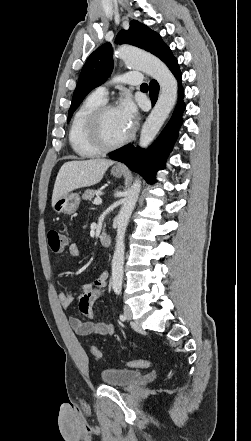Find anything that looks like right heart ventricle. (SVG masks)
Masks as SVG:
<instances>
[{"mask_svg": "<svg viewBox=\"0 0 251 441\" xmlns=\"http://www.w3.org/2000/svg\"><path fill=\"white\" fill-rule=\"evenodd\" d=\"M104 102L105 99L96 93H91L83 100L73 115L69 128V142L75 154L81 158L97 157L102 152L90 141L87 123L91 113Z\"/></svg>", "mask_w": 251, "mask_h": 441, "instance_id": "right-heart-ventricle-1", "label": "right heart ventricle"}]
</instances>
